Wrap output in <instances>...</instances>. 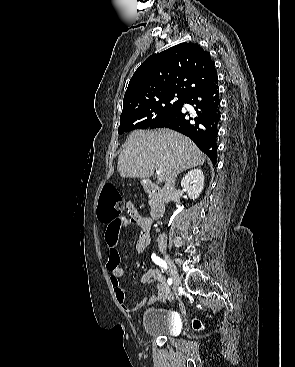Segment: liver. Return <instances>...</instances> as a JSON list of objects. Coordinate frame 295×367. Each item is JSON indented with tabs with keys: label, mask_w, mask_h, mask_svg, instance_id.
<instances>
[{
	"label": "liver",
	"mask_w": 295,
	"mask_h": 367,
	"mask_svg": "<svg viewBox=\"0 0 295 367\" xmlns=\"http://www.w3.org/2000/svg\"><path fill=\"white\" fill-rule=\"evenodd\" d=\"M206 160L200 149L186 136L169 130L132 132L118 157V172L123 178H150L155 170L165 181L180 172L202 165Z\"/></svg>",
	"instance_id": "obj_1"
}]
</instances>
